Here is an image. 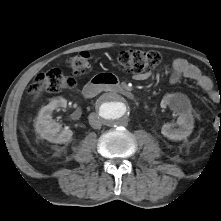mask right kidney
I'll use <instances>...</instances> for the list:
<instances>
[{
	"label": "right kidney",
	"instance_id": "1",
	"mask_svg": "<svg viewBox=\"0 0 221 221\" xmlns=\"http://www.w3.org/2000/svg\"><path fill=\"white\" fill-rule=\"evenodd\" d=\"M67 100L58 97L53 99L48 105L41 108L35 121V131L43 138L52 143L68 142L73 135L70 129L61 130V125L54 122L52 112L57 108H65Z\"/></svg>",
	"mask_w": 221,
	"mask_h": 221
}]
</instances>
